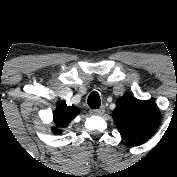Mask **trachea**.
Returning a JSON list of instances; mask_svg holds the SVG:
<instances>
[{
	"instance_id": "obj_1",
	"label": "trachea",
	"mask_w": 177,
	"mask_h": 177,
	"mask_svg": "<svg viewBox=\"0 0 177 177\" xmlns=\"http://www.w3.org/2000/svg\"><path fill=\"white\" fill-rule=\"evenodd\" d=\"M87 103L90 108L98 109L101 105V100H100V96H99L98 92H96V91L91 92L88 99H87Z\"/></svg>"
}]
</instances>
